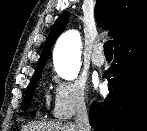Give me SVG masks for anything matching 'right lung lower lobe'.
Returning a JSON list of instances; mask_svg holds the SVG:
<instances>
[{
    "instance_id": "obj_1",
    "label": "right lung lower lobe",
    "mask_w": 147,
    "mask_h": 131,
    "mask_svg": "<svg viewBox=\"0 0 147 131\" xmlns=\"http://www.w3.org/2000/svg\"><path fill=\"white\" fill-rule=\"evenodd\" d=\"M109 95L93 102L90 125L95 131H147V30L114 50L108 71Z\"/></svg>"
}]
</instances>
